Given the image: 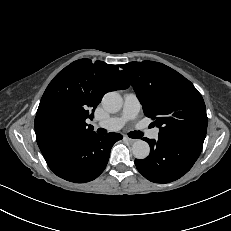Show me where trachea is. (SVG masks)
<instances>
[{"instance_id": "trachea-1", "label": "trachea", "mask_w": 231, "mask_h": 231, "mask_svg": "<svg viewBox=\"0 0 231 231\" xmlns=\"http://www.w3.org/2000/svg\"><path fill=\"white\" fill-rule=\"evenodd\" d=\"M97 131L100 134H106L105 129L99 128ZM128 135H129L130 138L137 139V138H141L143 136V133L141 131H132V132H129Z\"/></svg>"}]
</instances>
